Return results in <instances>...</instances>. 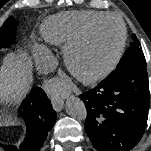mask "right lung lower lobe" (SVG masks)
<instances>
[{
  "label": "right lung lower lobe",
  "instance_id": "98d812e1",
  "mask_svg": "<svg viewBox=\"0 0 151 151\" xmlns=\"http://www.w3.org/2000/svg\"><path fill=\"white\" fill-rule=\"evenodd\" d=\"M18 114L27 127L25 140L20 146L0 143V148L4 151H39L57 118L43 89L33 87L21 104Z\"/></svg>",
  "mask_w": 151,
  "mask_h": 151
}]
</instances>
